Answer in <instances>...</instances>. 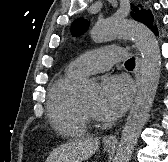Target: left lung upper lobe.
<instances>
[{
    "instance_id": "left-lung-upper-lobe-1",
    "label": "left lung upper lobe",
    "mask_w": 168,
    "mask_h": 162,
    "mask_svg": "<svg viewBox=\"0 0 168 162\" xmlns=\"http://www.w3.org/2000/svg\"><path fill=\"white\" fill-rule=\"evenodd\" d=\"M133 8V4L131 5ZM132 17L147 25L148 27L153 23L154 18L150 11H145L144 9L138 10L137 7H134L133 12L131 13ZM89 27L88 22L83 18L76 19L71 26L73 35H82Z\"/></svg>"
}]
</instances>
